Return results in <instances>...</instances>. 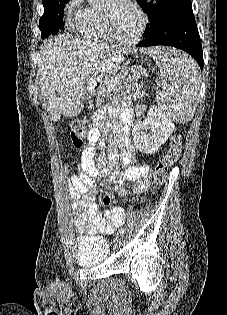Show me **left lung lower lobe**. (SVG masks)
<instances>
[{
    "mask_svg": "<svg viewBox=\"0 0 227 315\" xmlns=\"http://www.w3.org/2000/svg\"><path fill=\"white\" fill-rule=\"evenodd\" d=\"M137 47L166 45L189 53L203 70V51L192 9L174 13L144 32Z\"/></svg>",
    "mask_w": 227,
    "mask_h": 315,
    "instance_id": "left-lung-lower-lobe-1",
    "label": "left lung lower lobe"
}]
</instances>
